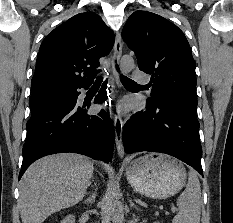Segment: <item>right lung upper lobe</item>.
<instances>
[{
  "mask_svg": "<svg viewBox=\"0 0 233 223\" xmlns=\"http://www.w3.org/2000/svg\"><path fill=\"white\" fill-rule=\"evenodd\" d=\"M114 44V33L94 12L80 13L43 40L31 82L32 95L56 88L90 85L99 59Z\"/></svg>",
  "mask_w": 233,
  "mask_h": 223,
  "instance_id": "1",
  "label": "right lung upper lobe"
}]
</instances>
